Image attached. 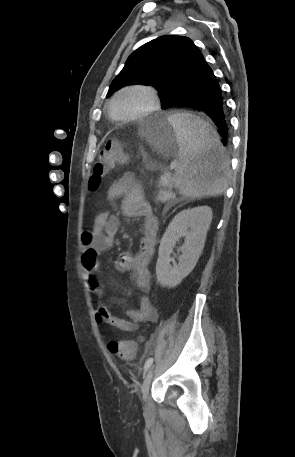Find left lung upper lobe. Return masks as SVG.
<instances>
[{
	"mask_svg": "<svg viewBox=\"0 0 295 457\" xmlns=\"http://www.w3.org/2000/svg\"><path fill=\"white\" fill-rule=\"evenodd\" d=\"M201 51L184 36L158 37L135 50L112 81L107 96L126 85L153 86L165 106L182 92L188 73Z\"/></svg>",
	"mask_w": 295,
	"mask_h": 457,
	"instance_id": "left-lung-upper-lobe-1",
	"label": "left lung upper lobe"
}]
</instances>
